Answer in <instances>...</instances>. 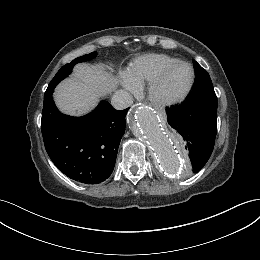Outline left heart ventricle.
Segmentation results:
<instances>
[{
  "label": "left heart ventricle",
  "mask_w": 260,
  "mask_h": 260,
  "mask_svg": "<svg viewBox=\"0 0 260 260\" xmlns=\"http://www.w3.org/2000/svg\"><path fill=\"white\" fill-rule=\"evenodd\" d=\"M191 76L188 66L181 65L175 68L161 85L159 94L163 97H175L181 94L189 85Z\"/></svg>",
  "instance_id": "obj_1"
}]
</instances>
